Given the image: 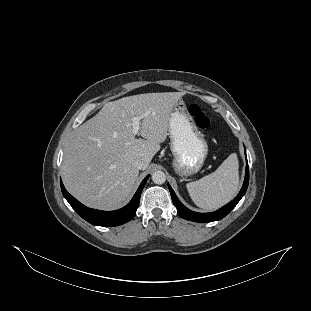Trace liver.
Wrapping results in <instances>:
<instances>
[{
  "mask_svg": "<svg viewBox=\"0 0 311 311\" xmlns=\"http://www.w3.org/2000/svg\"><path fill=\"white\" fill-rule=\"evenodd\" d=\"M184 94L143 93L104 104L76 129L64 151L62 178L68 192L90 208L123 207L139 175L132 162L141 158L143 170L148 168L167 139L170 114ZM134 116H143L142 138L132 132Z\"/></svg>",
  "mask_w": 311,
  "mask_h": 311,
  "instance_id": "liver-1",
  "label": "liver"
}]
</instances>
